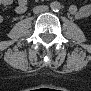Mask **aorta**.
<instances>
[{"label": "aorta", "instance_id": "1", "mask_svg": "<svg viewBox=\"0 0 91 91\" xmlns=\"http://www.w3.org/2000/svg\"><path fill=\"white\" fill-rule=\"evenodd\" d=\"M50 8L51 10L58 12L61 9V3L58 1H53L50 4Z\"/></svg>", "mask_w": 91, "mask_h": 91}]
</instances>
